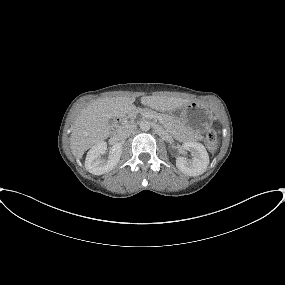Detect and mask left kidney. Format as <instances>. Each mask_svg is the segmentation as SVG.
Here are the masks:
<instances>
[{
    "label": "left kidney",
    "mask_w": 285,
    "mask_h": 285,
    "mask_svg": "<svg viewBox=\"0 0 285 285\" xmlns=\"http://www.w3.org/2000/svg\"><path fill=\"white\" fill-rule=\"evenodd\" d=\"M182 148L190 151L193 158L191 161H187L184 157H176L177 168L189 176H198L203 174L209 165V156L204 145L189 141L183 143Z\"/></svg>",
    "instance_id": "5707ae66"
}]
</instances>
